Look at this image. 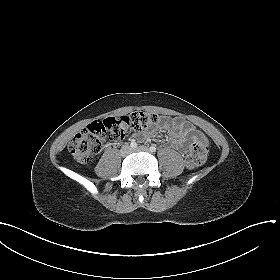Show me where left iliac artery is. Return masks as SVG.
<instances>
[{"label":"left iliac artery","instance_id":"1","mask_svg":"<svg viewBox=\"0 0 280 280\" xmlns=\"http://www.w3.org/2000/svg\"><path fill=\"white\" fill-rule=\"evenodd\" d=\"M150 151H151V152H156V147H155V146H151V147H150Z\"/></svg>","mask_w":280,"mask_h":280}]
</instances>
